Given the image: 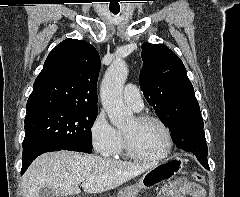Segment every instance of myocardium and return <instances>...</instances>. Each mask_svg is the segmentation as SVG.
I'll use <instances>...</instances> for the list:
<instances>
[{
  "label": "myocardium",
  "instance_id": "1",
  "mask_svg": "<svg viewBox=\"0 0 240 197\" xmlns=\"http://www.w3.org/2000/svg\"><path fill=\"white\" fill-rule=\"evenodd\" d=\"M135 119L139 122L154 121V122L158 123L163 128V130L166 134L167 146H166L165 151L158 156H154V157L146 156V155L140 153L139 151H137L135 149V147L133 146L130 138L125 133H123L122 136H123V142H124V147H125L126 153L131 158L139 160V161H144V162H159V161L167 158L171 154L173 145H174L172 132H171L170 127L167 125V123L160 117L153 115V114H147V113L137 115L135 117Z\"/></svg>",
  "mask_w": 240,
  "mask_h": 197
}]
</instances>
